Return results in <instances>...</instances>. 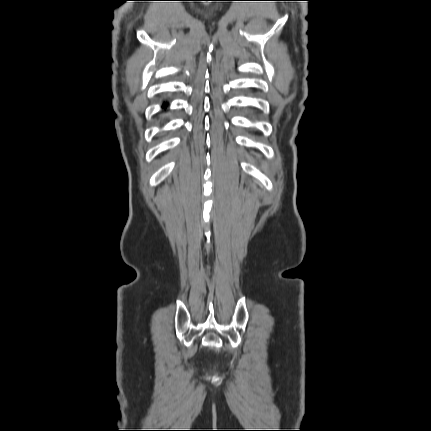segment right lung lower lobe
Here are the masks:
<instances>
[{"label":"right lung lower lobe","mask_w":431,"mask_h":431,"mask_svg":"<svg viewBox=\"0 0 431 431\" xmlns=\"http://www.w3.org/2000/svg\"><path fill=\"white\" fill-rule=\"evenodd\" d=\"M162 107H163L164 109H166L167 105L164 103Z\"/></svg>","instance_id":"98d812e1"}]
</instances>
